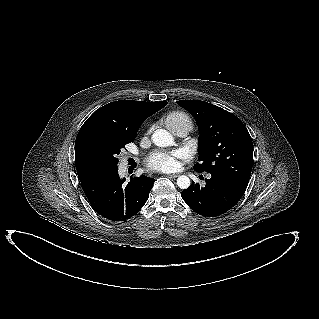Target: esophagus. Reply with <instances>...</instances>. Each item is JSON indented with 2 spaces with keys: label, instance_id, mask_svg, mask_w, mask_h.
<instances>
[{
  "label": "esophagus",
  "instance_id": "1",
  "mask_svg": "<svg viewBox=\"0 0 319 319\" xmlns=\"http://www.w3.org/2000/svg\"><path fill=\"white\" fill-rule=\"evenodd\" d=\"M167 176L170 178H177L179 175L178 174H167Z\"/></svg>",
  "mask_w": 319,
  "mask_h": 319
}]
</instances>
